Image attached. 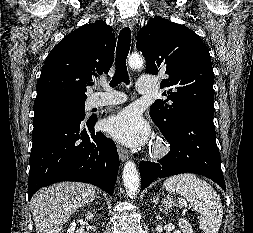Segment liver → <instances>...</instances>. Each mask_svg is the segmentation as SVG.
<instances>
[{"label":"liver","mask_w":253,"mask_h":233,"mask_svg":"<svg viewBox=\"0 0 253 233\" xmlns=\"http://www.w3.org/2000/svg\"><path fill=\"white\" fill-rule=\"evenodd\" d=\"M95 197L94 186L78 182H61L38 191L31 200L36 232L61 233L71 215Z\"/></svg>","instance_id":"liver-1"}]
</instances>
